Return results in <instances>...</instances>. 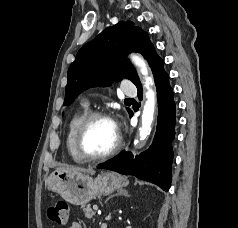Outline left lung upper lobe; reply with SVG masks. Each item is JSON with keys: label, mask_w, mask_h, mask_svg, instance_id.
Returning <instances> with one entry per match:
<instances>
[{"label": "left lung upper lobe", "mask_w": 238, "mask_h": 228, "mask_svg": "<svg viewBox=\"0 0 238 228\" xmlns=\"http://www.w3.org/2000/svg\"><path fill=\"white\" fill-rule=\"evenodd\" d=\"M124 52H139L147 60L155 52L148 33L131 21H120L86 43L69 67L64 105H70L90 87L109 86L125 78L139 84L138 75ZM127 111L131 112L129 108Z\"/></svg>", "instance_id": "left-lung-upper-lobe-1"}]
</instances>
